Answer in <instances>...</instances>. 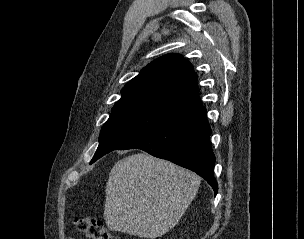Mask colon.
<instances>
[{"label":"colon","mask_w":304,"mask_h":239,"mask_svg":"<svg viewBox=\"0 0 304 239\" xmlns=\"http://www.w3.org/2000/svg\"><path fill=\"white\" fill-rule=\"evenodd\" d=\"M77 231L88 239H118L104 224L88 216H80L74 219Z\"/></svg>","instance_id":"colon-1"}]
</instances>
